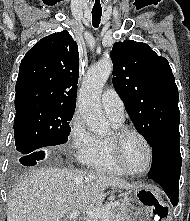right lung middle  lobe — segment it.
Wrapping results in <instances>:
<instances>
[{
  "label": "right lung middle lobe",
  "instance_id": "obj_1",
  "mask_svg": "<svg viewBox=\"0 0 190 221\" xmlns=\"http://www.w3.org/2000/svg\"><path fill=\"white\" fill-rule=\"evenodd\" d=\"M74 108L60 106H34L16 112L14 137L21 155L50 148L67 141L71 127L69 122Z\"/></svg>",
  "mask_w": 190,
  "mask_h": 221
}]
</instances>
